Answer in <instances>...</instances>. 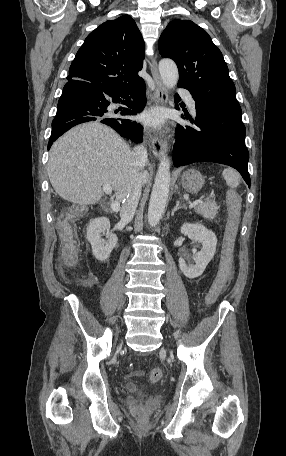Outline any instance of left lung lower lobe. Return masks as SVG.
<instances>
[{"instance_id": "1", "label": "left lung lower lobe", "mask_w": 286, "mask_h": 456, "mask_svg": "<svg viewBox=\"0 0 286 456\" xmlns=\"http://www.w3.org/2000/svg\"><path fill=\"white\" fill-rule=\"evenodd\" d=\"M176 98L179 100L178 95ZM193 99L196 102V119L193 120L186 113L185 118L195 127L178 125L177 141L173 147L175 167L194 162L229 165L240 172L250 187L247 169L249 153L245 146L246 130L241 112ZM182 117L184 118L183 115Z\"/></svg>"}]
</instances>
